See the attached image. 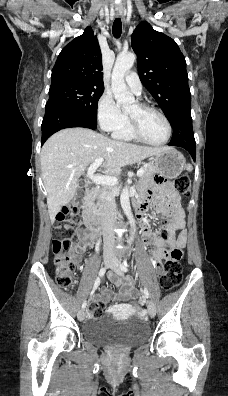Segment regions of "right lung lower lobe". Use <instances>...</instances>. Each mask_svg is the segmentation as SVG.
<instances>
[{
  "mask_svg": "<svg viewBox=\"0 0 228 396\" xmlns=\"http://www.w3.org/2000/svg\"><path fill=\"white\" fill-rule=\"evenodd\" d=\"M71 127L97 128V120L60 104L45 106L41 145L55 132Z\"/></svg>",
  "mask_w": 228,
  "mask_h": 396,
  "instance_id": "right-lung-lower-lobe-1",
  "label": "right lung lower lobe"
}]
</instances>
